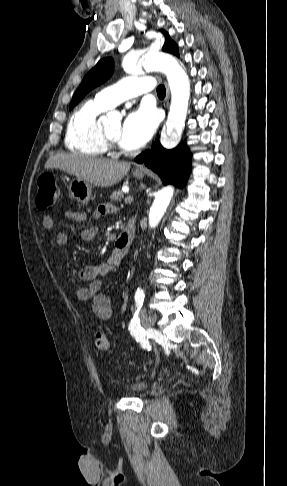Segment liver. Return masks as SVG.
<instances>
[{
    "instance_id": "liver-1",
    "label": "liver",
    "mask_w": 287,
    "mask_h": 486,
    "mask_svg": "<svg viewBox=\"0 0 287 486\" xmlns=\"http://www.w3.org/2000/svg\"><path fill=\"white\" fill-rule=\"evenodd\" d=\"M51 168L63 170L98 187H109L128 173L131 163L87 157L77 153H59L47 160L45 169Z\"/></svg>"
}]
</instances>
